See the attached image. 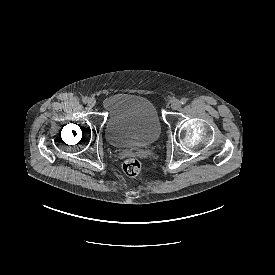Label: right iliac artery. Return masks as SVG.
Masks as SVG:
<instances>
[{
	"instance_id": "obj_1",
	"label": "right iliac artery",
	"mask_w": 275,
	"mask_h": 275,
	"mask_svg": "<svg viewBox=\"0 0 275 275\" xmlns=\"http://www.w3.org/2000/svg\"><path fill=\"white\" fill-rule=\"evenodd\" d=\"M82 101H83V103H85V104H86V103H88L89 98L85 96V97H83Z\"/></svg>"
}]
</instances>
